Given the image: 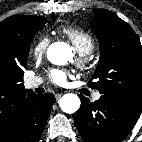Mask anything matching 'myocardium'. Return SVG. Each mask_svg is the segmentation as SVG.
<instances>
[{
  "mask_svg": "<svg viewBox=\"0 0 142 142\" xmlns=\"http://www.w3.org/2000/svg\"><path fill=\"white\" fill-rule=\"evenodd\" d=\"M89 59L87 57H83V55H81L78 59V66L82 69H85L89 66Z\"/></svg>",
  "mask_w": 142,
  "mask_h": 142,
  "instance_id": "f54148a6",
  "label": "myocardium"
}]
</instances>
